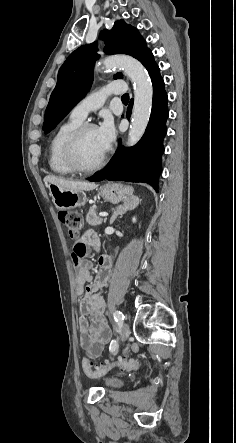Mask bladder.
Here are the masks:
<instances>
[{"label": "bladder", "instance_id": "1", "mask_svg": "<svg viewBox=\"0 0 236 443\" xmlns=\"http://www.w3.org/2000/svg\"><path fill=\"white\" fill-rule=\"evenodd\" d=\"M104 380L106 385L111 388H119L124 384V380L117 376H106Z\"/></svg>", "mask_w": 236, "mask_h": 443}]
</instances>
